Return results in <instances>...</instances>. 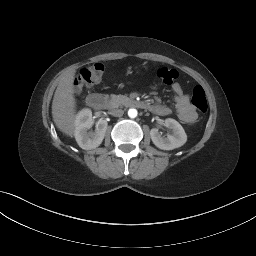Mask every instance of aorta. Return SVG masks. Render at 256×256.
<instances>
[{"instance_id":"762f6f07","label":"aorta","mask_w":256,"mask_h":256,"mask_svg":"<svg viewBox=\"0 0 256 256\" xmlns=\"http://www.w3.org/2000/svg\"><path fill=\"white\" fill-rule=\"evenodd\" d=\"M137 114H138V112H137V110L134 109V108H131V109L128 110V116H129L130 118H135V117H137Z\"/></svg>"}]
</instances>
